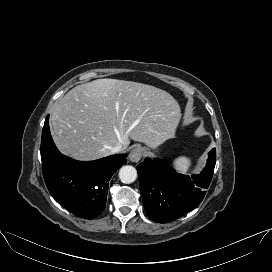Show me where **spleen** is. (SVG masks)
Segmentation results:
<instances>
[{
  "mask_svg": "<svg viewBox=\"0 0 272 272\" xmlns=\"http://www.w3.org/2000/svg\"><path fill=\"white\" fill-rule=\"evenodd\" d=\"M191 164V159L186 156H180L174 159L172 162L173 167L183 174H186L188 172Z\"/></svg>",
  "mask_w": 272,
  "mask_h": 272,
  "instance_id": "obj_1",
  "label": "spleen"
}]
</instances>
